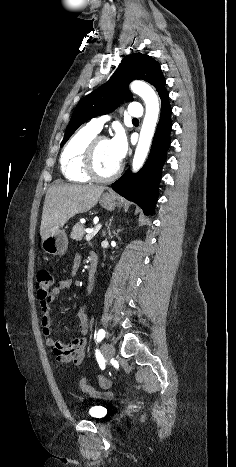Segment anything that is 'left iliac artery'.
<instances>
[{
    "label": "left iliac artery",
    "instance_id": "1",
    "mask_svg": "<svg viewBox=\"0 0 236 467\" xmlns=\"http://www.w3.org/2000/svg\"><path fill=\"white\" fill-rule=\"evenodd\" d=\"M105 337V330L104 329H99L98 333H97V342H101ZM96 358H97V361L99 362V366L101 369H103L105 367L104 363H102V357H101V354L98 350H96Z\"/></svg>",
    "mask_w": 236,
    "mask_h": 467
}]
</instances>
